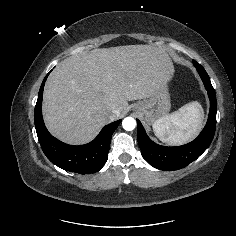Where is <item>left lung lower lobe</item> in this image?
<instances>
[{"mask_svg": "<svg viewBox=\"0 0 236 236\" xmlns=\"http://www.w3.org/2000/svg\"><path fill=\"white\" fill-rule=\"evenodd\" d=\"M195 67L208 91L210 99V111L207 123L195 140L177 147L158 145L147 136L141 122L137 119V140L142 155L146 161L157 169L173 171L186 167L196 160L208 148L213 140L216 128V94L205 69L199 64L195 65Z\"/></svg>", "mask_w": 236, "mask_h": 236, "instance_id": "0a47b994", "label": "left lung lower lobe"}]
</instances>
